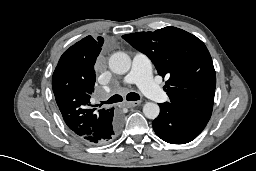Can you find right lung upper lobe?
I'll return each mask as SVG.
<instances>
[{"mask_svg":"<svg viewBox=\"0 0 256 171\" xmlns=\"http://www.w3.org/2000/svg\"><path fill=\"white\" fill-rule=\"evenodd\" d=\"M103 38L87 36L67 49L52 77L56 103L69 129L76 137L96 136L114 112V108L91 105L96 81L94 64ZM101 106V105H100Z\"/></svg>","mask_w":256,"mask_h":171,"instance_id":"right-lung-upper-lobe-1","label":"right lung upper lobe"}]
</instances>
